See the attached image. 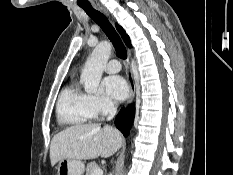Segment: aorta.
I'll return each instance as SVG.
<instances>
[{
    "mask_svg": "<svg viewBox=\"0 0 233 175\" xmlns=\"http://www.w3.org/2000/svg\"><path fill=\"white\" fill-rule=\"evenodd\" d=\"M111 54V45L107 41L99 43L86 61L81 81L88 93H95L99 87L103 70Z\"/></svg>",
    "mask_w": 233,
    "mask_h": 175,
    "instance_id": "762f6f07",
    "label": "aorta"
}]
</instances>
